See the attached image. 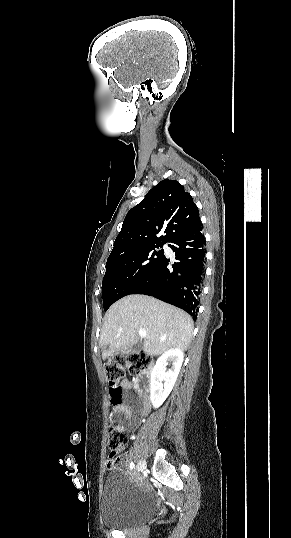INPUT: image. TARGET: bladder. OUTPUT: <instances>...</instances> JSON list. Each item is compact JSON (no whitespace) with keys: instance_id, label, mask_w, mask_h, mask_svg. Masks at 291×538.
<instances>
[{"instance_id":"31cf9c89","label":"bladder","mask_w":291,"mask_h":538,"mask_svg":"<svg viewBox=\"0 0 291 538\" xmlns=\"http://www.w3.org/2000/svg\"><path fill=\"white\" fill-rule=\"evenodd\" d=\"M155 509L154 500L134 483L125 471L108 473L101 493V516L106 527L126 530L147 522Z\"/></svg>"}]
</instances>
